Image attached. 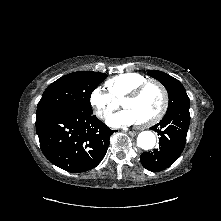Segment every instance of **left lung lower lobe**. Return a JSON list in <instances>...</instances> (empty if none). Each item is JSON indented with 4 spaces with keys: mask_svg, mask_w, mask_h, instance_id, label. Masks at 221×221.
Returning <instances> with one entry per match:
<instances>
[{
    "mask_svg": "<svg viewBox=\"0 0 221 221\" xmlns=\"http://www.w3.org/2000/svg\"><path fill=\"white\" fill-rule=\"evenodd\" d=\"M189 109H176L151 127L159 138V147L140 155L142 165L149 171L159 172L170 167L181 155L189 128Z\"/></svg>",
    "mask_w": 221,
    "mask_h": 221,
    "instance_id": "1",
    "label": "left lung lower lobe"
}]
</instances>
